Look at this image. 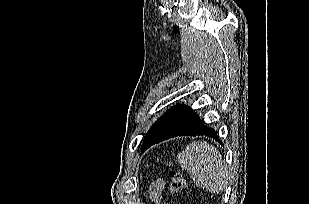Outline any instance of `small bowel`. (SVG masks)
Instances as JSON below:
<instances>
[{
    "mask_svg": "<svg viewBox=\"0 0 309 204\" xmlns=\"http://www.w3.org/2000/svg\"><path fill=\"white\" fill-rule=\"evenodd\" d=\"M165 189V181L161 178L156 179L150 186V199L155 204H162L163 191Z\"/></svg>",
    "mask_w": 309,
    "mask_h": 204,
    "instance_id": "small-bowel-1",
    "label": "small bowel"
}]
</instances>
